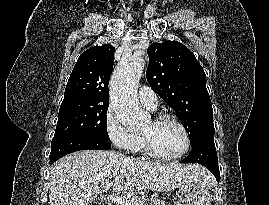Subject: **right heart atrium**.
<instances>
[{"instance_id":"obj_1","label":"right heart atrium","mask_w":269,"mask_h":205,"mask_svg":"<svg viewBox=\"0 0 269 205\" xmlns=\"http://www.w3.org/2000/svg\"><path fill=\"white\" fill-rule=\"evenodd\" d=\"M104 129L109 140L119 149L133 151L140 141L138 135L122 125L112 107L106 111Z\"/></svg>"}]
</instances>
